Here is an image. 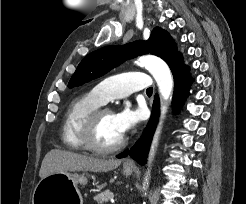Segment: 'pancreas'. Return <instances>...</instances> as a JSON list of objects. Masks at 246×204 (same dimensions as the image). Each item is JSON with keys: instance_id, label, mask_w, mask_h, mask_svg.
<instances>
[{"instance_id": "obj_1", "label": "pancreas", "mask_w": 246, "mask_h": 204, "mask_svg": "<svg viewBox=\"0 0 246 204\" xmlns=\"http://www.w3.org/2000/svg\"><path fill=\"white\" fill-rule=\"evenodd\" d=\"M114 197V194L110 192L109 190H106L94 197V200L97 202V204H104L107 203L111 198Z\"/></svg>"}]
</instances>
